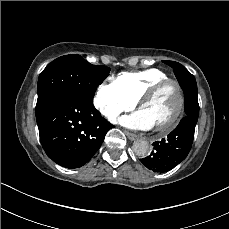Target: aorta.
I'll return each mask as SVG.
<instances>
[{
  "mask_svg": "<svg viewBox=\"0 0 229 229\" xmlns=\"http://www.w3.org/2000/svg\"><path fill=\"white\" fill-rule=\"evenodd\" d=\"M133 151L137 156H146L149 152V143L139 139L133 143Z\"/></svg>",
  "mask_w": 229,
  "mask_h": 229,
  "instance_id": "aorta-1",
  "label": "aorta"
}]
</instances>
